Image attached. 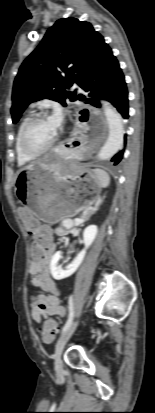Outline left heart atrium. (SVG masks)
<instances>
[{
    "label": "left heart atrium",
    "mask_w": 155,
    "mask_h": 413,
    "mask_svg": "<svg viewBox=\"0 0 155 413\" xmlns=\"http://www.w3.org/2000/svg\"><path fill=\"white\" fill-rule=\"evenodd\" d=\"M52 128L57 132L62 125L63 122V114L60 108H55L53 114L48 119Z\"/></svg>",
    "instance_id": "left-heart-atrium-1"
}]
</instances>
